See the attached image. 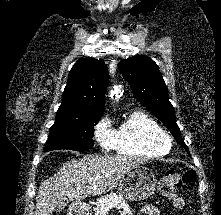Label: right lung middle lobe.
<instances>
[{
    "label": "right lung middle lobe",
    "mask_w": 221,
    "mask_h": 215,
    "mask_svg": "<svg viewBox=\"0 0 221 215\" xmlns=\"http://www.w3.org/2000/svg\"><path fill=\"white\" fill-rule=\"evenodd\" d=\"M101 115L79 112L56 113L55 123L50 128L45 151L59 149L83 151L90 149L94 145L92 139L94 125L98 123Z\"/></svg>",
    "instance_id": "dd1d6c3e"
}]
</instances>
